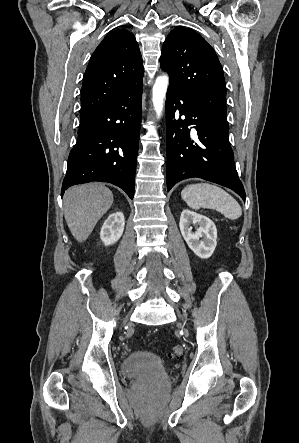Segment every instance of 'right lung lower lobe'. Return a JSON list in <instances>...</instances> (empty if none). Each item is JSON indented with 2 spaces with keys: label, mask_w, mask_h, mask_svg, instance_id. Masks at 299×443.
Here are the masks:
<instances>
[{
  "label": "right lung lower lobe",
  "mask_w": 299,
  "mask_h": 443,
  "mask_svg": "<svg viewBox=\"0 0 299 443\" xmlns=\"http://www.w3.org/2000/svg\"><path fill=\"white\" fill-rule=\"evenodd\" d=\"M143 84L81 119L61 196L73 185L112 183L132 199L141 125Z\"/></svg>",
  "instance_id": "right-lung-lower-lobe-1"
}]
</instances>
